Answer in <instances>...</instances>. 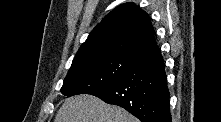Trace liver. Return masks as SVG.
<instances>
[{
	"label": "liver",
	"instance_id": "6515ba94",
	"mask_svg": "<svg viewBox=\"0 0 221 122\" xmlns=\"http://www.w3.org/2000/svg\"><path fill=\"white\" fill-rule=\"evenodd\" d=\"M54 122H138V119L119 106L83 94L67 98Z\"/></svg>",
	"mask_w": 221,
	"mask_h": 122
}]
</instances>
